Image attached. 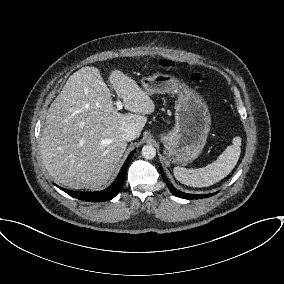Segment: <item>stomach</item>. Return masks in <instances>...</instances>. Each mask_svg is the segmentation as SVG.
<instances>
[{"instance_id": "1", "label": "stomach", "mask_w": 284, "mask_h": 284, "mask_svg": "<svg viewBox=\"0 0 284 284\" xmlns=\"http://www.w3.org/2000/svg\"><path fill=\"white\" fill-rule=\"evenodd\" d=\"M148 94H176L175 126L160 134L164 155L173 163L194 161L205 147L211 117L203 98L174 76L156 73L142 79Z\"/></svg>"}]
</instances>
